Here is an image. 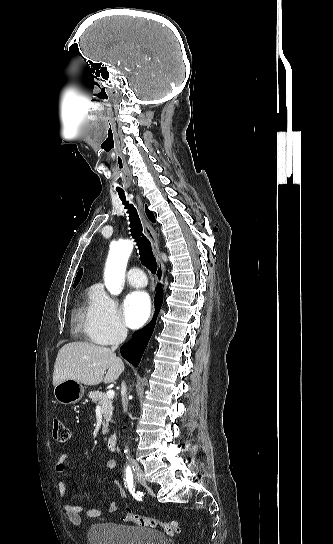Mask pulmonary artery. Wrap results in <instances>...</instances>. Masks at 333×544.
I'll return each instance as SVG.
<instances>
[{
	"label": "pulmonary artery",
	"instance_id": "pulmonary-artery-1",
	"mask_svg": "<svg viewBox=\"0 0 333 544\" xmlns=\"http://www.w3.org/2000/svg\"><path fill=\"white\" fill-rule=\"evenodd\" d=\"M127 280L130 285L142 288L147 284V279L144 272L140 268H132L127 273Z\"/></svg>",
	"mask_w": 333,
	"mask_h": 544
}]
</instances>
